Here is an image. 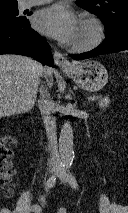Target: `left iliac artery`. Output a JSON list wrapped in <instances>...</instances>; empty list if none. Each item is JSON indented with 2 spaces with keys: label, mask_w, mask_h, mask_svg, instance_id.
<instances>
[{
  "label": "left iliac artery",
  "mask_w": 128,
  "mask_h": 213,
  "mask_svg": "<svg viewBox=\"0 0 128 213\" xmlns=\"http://www.w3.org/2000/svg\"><path fill=\"white\" fill-rule=\"evenodd\" d=\"M66 168H67V171H68L67 178H68L69 184L71 185L72 188L77 189L78 183H77L75 176L70 171L71 165H67Z\"/></svg>",
  "instance_id": "obj_1"
}]
</instances>
